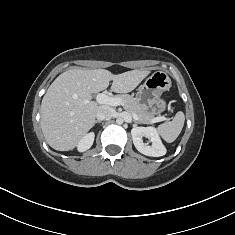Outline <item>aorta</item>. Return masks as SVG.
<instances>
[{"label":"aorta","mask_w":235,"mask_h":235,"mask_svg":"<svg viewBox=\"0 0 235 235\" xmlns=\"http://www.w3.org/2000/svg\"><path fill=\"white\" fill-rule=\"evenodd\" d=\"M124 122V120L122 119V118H117V120H116V123L117 124H122Z\"/></svg>","instance_id":"762f6f07"}]
</instances>
